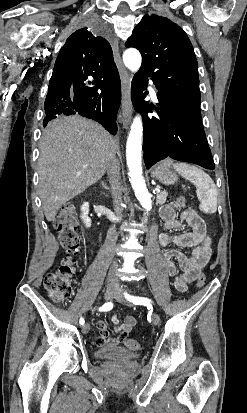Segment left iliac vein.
Wrapping results in <instances>:
<instances>
[{
    "mask_svg": "<svg viewBox=\"0 0 247 413\" xmlns=\"http://www.w3.org/2000/svg\"><path fill=\"white\" fill-rule=\"evenodd\" d=\"M113 298H114L115 300H117L118 302L124 304V305L132 306V304H131L130 302H128V301L123 297V295H122V293H121L120 291H117V292L113 295ZM152 323H153L155 326H158V325H159V323H160V316H159L158 313H154V314L152 315Z\"/></svg>",
    "mask_w": 247,
    "mask_h": 413,
    "instance_id": "4c4485c4",
    "label": "left iliac vein"
}]
</instances>
